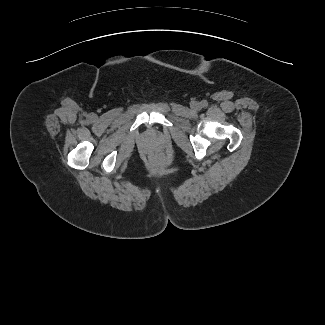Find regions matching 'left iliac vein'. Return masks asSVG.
Segmentation results:
<instances>
[{"instance_id": "1", "label": "left iliac vein", "mask_w": 325, "mask_h": 325, "mask_svg": "<svg viewBox=\"0 0 325 325\" xmlns=\"http://www.w3.org/2000/svg\"><path fill=\"white\" fill-rule=\"evenodd\" d=\"M193 108L197 109L198 108V105L197 104H194L193 105Z\"/></svg>"}]
</instances>
